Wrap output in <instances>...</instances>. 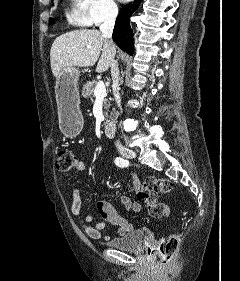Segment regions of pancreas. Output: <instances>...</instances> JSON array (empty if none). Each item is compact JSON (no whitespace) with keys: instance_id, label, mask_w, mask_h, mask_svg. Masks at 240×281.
Instances as JSON below:
<instances>
[{"instance_id":"1","label":"pancreas","mask_w":240,"mask_h":281,"mask_svg":"<svg viewBox=\"0 0 240 281\" xmlns=\"http://www.w3.org/2000/svg\"><path fill=\"white\" fill-rule=\"evenodd\" d=\"M97 84H98L97 81L87 82L82 88V96L84 98H90L93 101L94 92ZM103 102H104V114L107 117L108 109L110 108L111 104L107 98H105Z\"/></svg>"}]
</instances>
